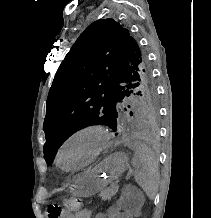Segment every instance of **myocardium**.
Here are the masks:
<instances>
[{
  "label": "myocardium",
  "mask_w": 211,
  "mask_h": 218,
  "mask_svg": "<svg viewBox=\"0 0 211 218\" xmlns=\"http://www.w3.org/2000/svg\"><path fill=\"white\" fill-rule=\"evenodd\" d=\"M83 135L96 136L100 140V145L86 161L79 163L77 165L78 167H84L94 162L110 146L112 139V135L108 128L98 123L86 124L75 129L63 140L58 148L57 163L60 166H67L63 164V153L67 145Z\"/></svg>",
  "instance_id": "1"
}]
</instances>
